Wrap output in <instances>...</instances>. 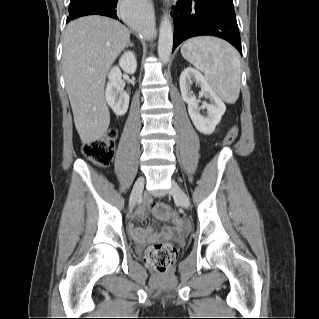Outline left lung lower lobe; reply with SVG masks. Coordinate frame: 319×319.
<instances>
[{"label":"left lung lower lobe","mask_w":319,"mask_h":319,"mask_svg":"<svg viewBox=\"0 0 319 319\" xmlns=\"http://www.w3.org/2000/svg\"><path fill=\"white\" fill-rule=\"evenodd\" d=\"M173 9V51L188 38L211 35L228 41L242 55L234 8L211 0H178Z\"/></svg>","instance_id":"left-lung-lower-lobe-1"}]
</instances>
